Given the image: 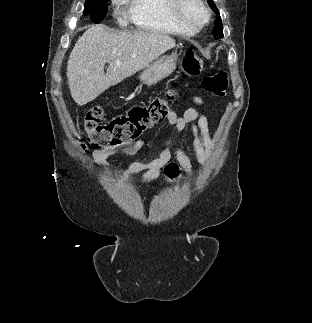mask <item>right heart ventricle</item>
<instances>
[{"instance_id": "obj_1", "label": "right heart ventricle", "mask_w": 312, "mask_h": 323, "mask_svg": "<svg viewBox=\"0 0 312 323\" xmlns=\"http://www.w3.org/2000/svg\"><path fill=\"white\" fill-rule=\"evenodd\" d=\"M132 10L129 14L133 20L134 29H153L154 33H186L192 31L191 22L179 18L180 7L171 0H132Z\"/></svg>"}]
</instances>
